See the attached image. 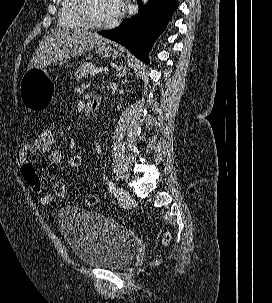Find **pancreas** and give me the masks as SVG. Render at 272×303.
<instances>
[{"label": "pancreas", "mask_w": 272, "mask_h": 303, "mask_svg": "<svg viewBox=\"0 0 272 303\" xmlns=\"http://www.w3.org/2000/svg\"><path fill=\"white\" fill-rule=\"evenodd\" d=\"M94 68L95 66L92 62H85L78 67L77 71L74 73V76L76 78L85 77Z\"/></svg>", "instance_id": "obj_1"}]
</instances>
